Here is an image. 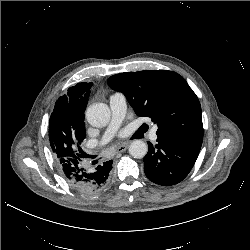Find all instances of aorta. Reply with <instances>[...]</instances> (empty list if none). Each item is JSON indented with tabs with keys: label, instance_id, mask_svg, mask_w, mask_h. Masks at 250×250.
Returning a JSON list of instances; mask_svg holds the SVG:
<instances>
[{
	"label": "aorta",
	"instance_id": "obj_1",
	"mask_svg": "<svg viewBox=\"0 0 250 250\" xmlns=\"http://www.w3.org/2000/svg\"><path fill=\"white\" fill-rule=\"evenodd\" d=\"M87 121L94 127H103L110 120V109L104 103H94L86 110ZM148 151L147 144L142 140H134L129 146V154L134 158H143Z\"/></svg>",
	"mask_w": 250,
	"mask_h": 250
}]
</instances>
